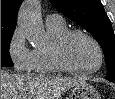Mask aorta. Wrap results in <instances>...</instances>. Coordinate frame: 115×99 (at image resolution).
I'll return each instance as SVG.
<instances>
[{"mask_svg":"<svg viewBox=\"0 0 115 99\" xmlns=\"http://www.w3.org/2000/svg\"><path fill=\"white\" fill-rule=\"evenodd\" d=\"M18 27L27 35L31 43H40L45 37V30L40 17L39 2L26 1L18 15Z\"/></svg>","mask_w":115,"mask_h":99,"instance_id":"obj_1","label":"aorta"}]
</instances>
